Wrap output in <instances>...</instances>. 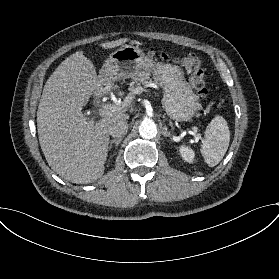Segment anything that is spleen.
<instances>
[{
	"label": "spleen",
	"instance_id": "1",
	"mask_svg": "<svg viewBox=\"0 0 279 279\" xmlns=\"http://www.w3.org/2000/svg\"><path fill=\"white\" fill-rule=\"evenodd\" d=\"M230 142V130L226 120L216 115L208 124L201 153L209 167L216 166L224 157Z\"/></svg>",
	"mask_w": 279,
	"mask_h": 279
}]
</instances>
